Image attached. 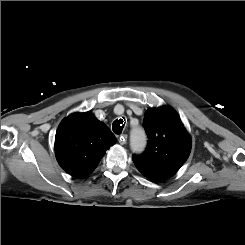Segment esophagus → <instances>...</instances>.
Returning <instances> with one entry per match:
<instances>
[{"instance_id":"obj_1","label":"esophagus","mask_w":245,"mask_h":245,"mask_svg":"<svg viewBox=\"0 0 245 245\" xmlns=\"http://www.w3.org/2000/svg\"><path fill=\"white\" fill-rule=\"evenodd\" d=\"M127 139H128L127 134H122V135L119 137L118 141H119V143H120L121 145H125V144L127 143Z\"/></svg>"}]
</instances>
